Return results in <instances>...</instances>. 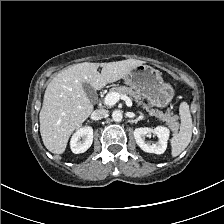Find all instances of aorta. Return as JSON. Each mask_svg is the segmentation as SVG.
Here are the masks:
<instances>
[{
  "label": "aorta",
  "instance_id": "aorta-1",
  "mask_svg": "<svg viewBox=\"0 0 224 224\" xmlns=\"http://www.w3.org/2000/svg\"><path fill=\"white\" fill-rule=\"evenodd\" d=\"M112 119L115 122H120L122 120V113L119 110H114L112 112Z\"/></svg>",
  "mask_w": 224,
  "mask_h": 224
}]
</instances>
